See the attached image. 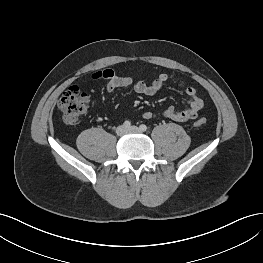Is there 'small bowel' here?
Returning a JSON list of instances; mask_svg holds the SVG:
<instances>
[{"label":"small bowel","mask_w":263,"mask_h":263,"mask_svg":"<svg viewBox=\"0 0 263 263\" xmlns=\"http://www.w3.org/2000/svg\"><path fill=\"white\" fill-rule=\"evenodd\" d=\"M90 78L93 81L106 80V90L108 92H113L120 88L133 87L136 93L147 96L157 94L165 83L175 80L174 75L162 73L151 83L143 80L134 81L131 77L117 75L112 69L96 71L91 74ZM185 93L188 96V108L179 110L173 106L168 107L163 112L165 118L176 122H186L197 117L204 106V102L198 96L197 90L192 86H186ZM143 117L147 120H152L156 118V114L152 111H146L143 113Z\"/></svg>","instance_id":"1"}]
</instances>
